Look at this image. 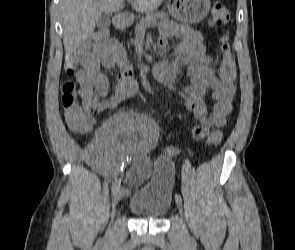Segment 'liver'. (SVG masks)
Segmentation results:
<instances>
[{
    "label": "liver",
    "mask_w": 295,
    "mask_h": 250,
    "mask_svg": "<svg viewBox=\"0 0 295 250\" xmlns=\"http://www.w3.org/2000/svg\"><path fill=\"white\" fill-rule=\"evenodd\" d=\"M134 10L154 12L164 0H132ZM125 0H61L59 7L63 26V44L70 56L93 33L98 17L124 8Z\"/></svg>",
    "instance_id": "liver-1"
}]
</instances>
